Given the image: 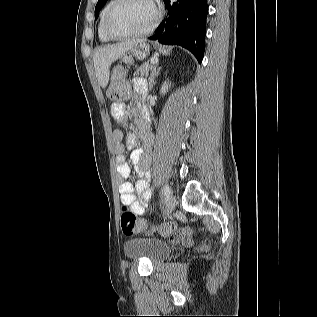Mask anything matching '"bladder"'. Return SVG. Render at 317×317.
I'll return each instance as SVG.
<instances>
[{
  "label": "bladder",
  "instance_id": "31cf9c89",
  "mask_svg": "<svg viewBox=\"0 0 317 317\" xmlns=\"http://www.w3.org/2000/svg\"><path fill=\"white\" fill-rule=\"evenodd\" d=\"M124 251L130 258H147L152 262L163 260L171 254L167 242L143 237L128 240L124 245Z\"/></svg>",
  "mask_w": 317,
  "mask_h": 317
}]
</instances>
